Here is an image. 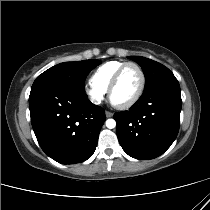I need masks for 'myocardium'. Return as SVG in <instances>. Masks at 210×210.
I'll return each mask as SVG.
<instances>
[{
	"mask_svg": "<svg viewBox=\"0 0 210 210\" xmlns=\"http://www.w3.org/2000/svg\"><path fill=\"white\" fill-rule=\"evenodd\" d=\"M128 66H134L139 71L140 76H141L140 86H139L137 93L134 95V97L132 99H130L129 101H127L125 103L117 104V103H114L112 100V93L119 82V79L121 77L123 70ZM145 87H146V74H145L143 68L136 62H132V61L125 62L116 70V72L113 75V78L109 84V87L107 90L109 101L117 109H121V110L128 109V108L132 107L133 105H135L140 100V98L142 97V95L144 93Z\"/></svg>",
	"mask_w": 210,
	"mask_h": 210,
	"instance_id": "obj_1",
	"label": "myocardium"
}]
</instances>
